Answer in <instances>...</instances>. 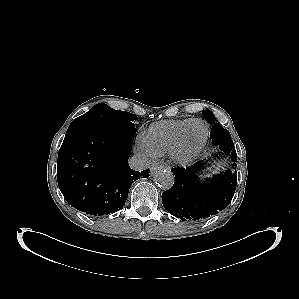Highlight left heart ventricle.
Masks as SVG:
<instances>
[{
  "mask_svg": "<svg viewBox=\"0 0 299 299\" xmlns=\"http://www.w3.org/2000/svg\"><path fill=\"white\" fill-rule=\"evenodd\" d=\"M204 134V126L201 123L191 124L184 136L182 152L188 154L194 151L201 144Z\"/></svg>",
  "mask_w": 299,
  "mask_h": 299,
  "instance_id": "1",
  "label": "left heart ventricle"
}]
</instances>
